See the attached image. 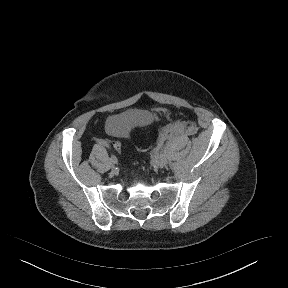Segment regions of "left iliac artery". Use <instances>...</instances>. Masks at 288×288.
<instances>
[{
	"instance_id": "obj_1",
	"label": "left iliac artery",
	"mask_w": 288,
	"mask_h": 288,
	"mask_svg": "<svg viewBox=\"0 0 288 288\" xmlns=\"http://www.w3.org/2000/svg\"><path fill=\"white\" fill-rule=\"evenodd\" d=\"M159 156H164L163 151H160V152H159Z\"/></svg>"
}]
</instances>
